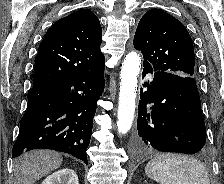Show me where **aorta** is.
Returning <instances> with one entry per match:
<instances>
[{
	"label": "aorta",
	"instance_id": "762f6f07",
	"mask_svg": "<svg viewBox=\"0 0 224 184\" xmlns=\"http://www.w3.org/2000/svg\"><path fill=\"white\" fill-rule=\"evenodd\" d=\"M140 67L141 58L136 52L126 55L120 73L117 127L121 134H126L131 129L134 119L137 76Z\"/></svg>",
	"mask_w": 224,
	"mask_h": 184
}]
</instances>
